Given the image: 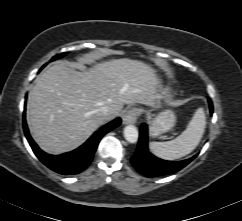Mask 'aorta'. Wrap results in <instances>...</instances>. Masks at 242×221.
<instances>
[{"label": "aorta", "instance_id": "762f6f07", "mask_svg": "<svg viewBox=\"0 0 242 221\" xmlns=\"http://www.w3.org/2000/svg\"><path fill=\"white\" fill-rule=\"evenodd\" d=\"M124 137L129 143H136L138 141L139 132L133 125H127L124 128Z\"/></svg>", "mask_w": 242, "mask_h": 221}]
</instances>
